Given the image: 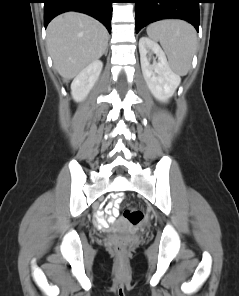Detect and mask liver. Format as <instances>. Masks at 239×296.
Returning <instances> with one entry per match:
<instances>
[{
	"label": "liver",
	"instance_id": "obj_1",
	"mask_svg": "<svg viewBox=\"0 0 239 296\" xmlns=\"http://www.w3.org/2000/svg\"><path fill=\"white\" fill-rule=\"evenodd\" d=\"M108 38L107 29L99 21L77 12L59 15L47 27L48 51L66 81L104 54Z\"/></svg>",
	"mask_w": 239,
	"mask_h": 296
}]
</instances>
